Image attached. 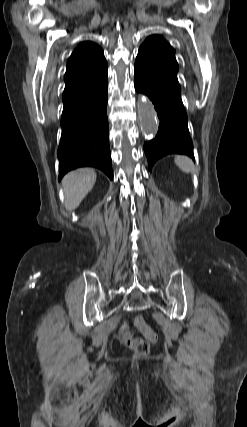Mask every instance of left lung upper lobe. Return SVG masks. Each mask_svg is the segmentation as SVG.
Returning a JSON list of instances; mask_svg holds the SVG:
<instances>
[{"label":"left lung upper lobe","instance_id":"left-lung-upper-lobe-1","mask_svg":"<svg viewBox=\"0 0 247 427\" xmlns=\"http://www.w3.org/2000/svg\"><path fill=\"white\" fill-rule=\"evenodd\" d=\"M137 58L169 82L180 87L177 80L178 63L175 59V50L164 38L159 35L149 36L140 46Z\"/></svg>","mask_w":247,"mask_h":427}]
</instances>
